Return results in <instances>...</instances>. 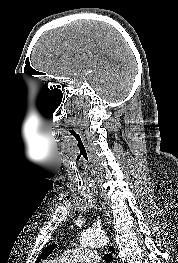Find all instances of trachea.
I'll return each instance as SVG.
<instances>
[{
	"instance_id": "1",
	"label": "trachea",
	"mask_w": 178,
	"mask_h": 263,
	"mask_svg": "<svg viewBox=\"0 0 178 263\" xmlns=\"http://www.w3.org/2000/svg\"><path fill=\"white\" fill-rule=\"evenodd\" d=\"M104 260L106 263H110L112 261V255L109 253L104 255Z\"/></svg>"
}]
</instances>
